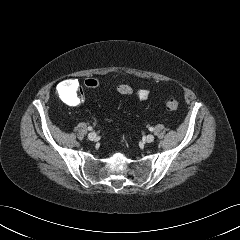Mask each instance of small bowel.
<instances>
[{
    "label": "small bowel",
    "mask_w": 240,
    "mask_h": 240,
    "mask_svg": "<svg viewBox=\"0 0 240 240\" xmlns=\"http://www.w3.org/2000/svg\"><path fill=\"white\" fill-rule=\"evenodd\" d=\"M73 84L75 85L76 90H67L65 92H62L69 100H72L74 102H81L83 101V95H78L79 90V84L77 81L72 80Z\"/></svg>",
    "instance_id": "small-bowel-1"
}]
</instances>
